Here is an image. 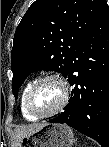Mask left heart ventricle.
Returning a JSON list of instances; mask_svg holds the SVG:
<instances>
[{
	"label": "left heart ventricle",
	"instance_id": "obj_1",
	"mask_svg": "<svg viewBox=\"0 0 109 147\" xmlns=\"http://www.w3.org/2000/svg\"><path fill=\"white\" fill-rule=\"evenodd\" d=\"M62 94V88L57 82H44L34 92L31 98V106L37 112H48L59 104Z\"/></svg>",
	"mask_w": 109,
	"mask_h": 147
}]
</instances>
